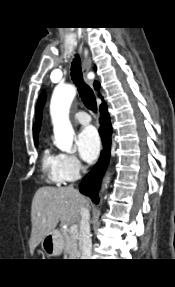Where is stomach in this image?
I'll return each instance as SVG.
<instances>
[{
    "label": "stomach",
    "instance_id": "obj_1",
    "mask_svg": "<svg viewBox=\"0 0 175 287\" xmlns=\"http://www.w3.org/2000/svg\"><path fill=\"white\" fill-rule=\"evenodd\" d=\"M64 246V239L58 230L51 231L41 241V247L48 256L61 254Z\"/></svg>",
    "mask_w": 175,
    "mask_h": 287
}]
</instances>
